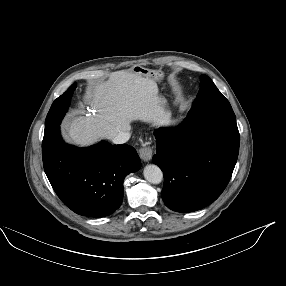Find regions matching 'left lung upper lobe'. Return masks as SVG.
<instances>
[{
	"label": "left lung upper lobe",
	"instance_id": "5c2ea615",
	"mask_svg": "<svg viewBox=\"0 0 286 286\" xmlns=\"http://www.w3.org/2000/svg\"><path fill=\"white\" fill-rule=\"evenodd\" d=\"M198 115H216L236 119L228 100L206 75L201 76L199 92L188 113V116Z\"/></svg>",
	"mask_w": 286,
	"mask_h": 286
}]
</instances>
